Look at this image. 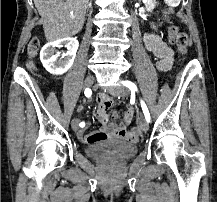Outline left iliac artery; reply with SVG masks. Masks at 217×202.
<instances>
[{
    "instance_id": "left-iliac-artery-1",
    "label": "left iliac artery",
    "mask_w": 217,
    "mask_h": 202,
    "mask_svg": "<svg viewBox=\"0 0 217 202\" xmlns=\"http://www.w3.org/2000/svg\"><path fill=\"white\" fill-rule=\"evenodd\" d=\"M122 84L124 86L128 87L132 92L137 91V86L131 81H128V80L122 81ZM141 107H142L143 113L145 115V119L149 123L150 122V113H149L148 108H147V106L143 100H141Z\"/></svg>"
}]
</instances>
